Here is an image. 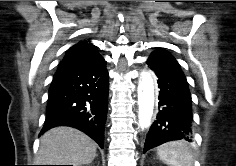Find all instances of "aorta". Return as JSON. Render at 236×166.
<instances>
[{
  "label": "aorta",
  "mask_w": 236,
  "mask_h": 166,
  "mask_svg": "<svg viewBox=\"0 0 236 166\" xmlns=\"http://www.w3.org/2000/svg\"><path fill=\"white\" fill-rule=\"evenodd\" d=\"M154 82L149 72L143 71L138 85L139 125L147 128L151 124L154 108Z\"/></svg>",
  "instance_id": "762f6f07"
}]
</instances>
